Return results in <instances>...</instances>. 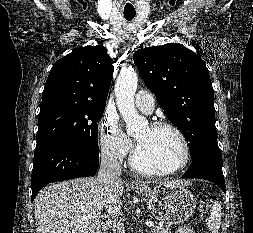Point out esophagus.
Here are the masks:
<instances>
[{
	"mask_svg": "<svg viewBox=\"0 0 253 233\" xmlns=\"http://www.w3.org/2000/svg\"><path fill=\"white\" fill-rule=\"evenodd\" d=\"M131 185H133V186H134V185H138V183L135 182V181H132V182H131Z\"/></svg>",
	"mask_w": 253,
	"mask_h": 233,
	"instance_id": "34e87169",
	"label": "esophagus"
}]
</instances>
